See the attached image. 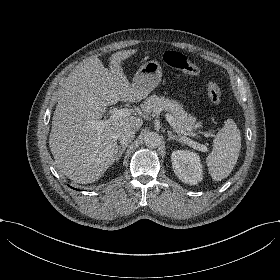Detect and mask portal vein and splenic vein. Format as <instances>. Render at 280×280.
I'll list each match as a JSON object with an SVG mask.
<instances>
[{
  "label": "portal vein and splenic vein",
  "mask_w": 280,
  "mask_h": 280,
  "mask_svg": "<svg viewBox=\"0 0 280 280\" xmlns=\"http://www.w3.org/2000/svg\"><path fill=\"white\" fill-rule=\"evenodd\" d=\"M132 113V109H128V108H121V109H114L113 110V114L110 116V119L106 120V121H96L95 124L97 126H102L104 125V123L108 122L109 120H119L121 118H124V117H127V116H130ZM166 120L168 121V123L173 126L174 129H176V124L174 122V117L172 114H169V113H166ZM176 132H178L176 130ZM184 141L188 144V146L194 148V149H198L199 151H202V152H207L208 151V148L205 146V145H202V144H199L195 141H192L190 139H185L183 137Z\"/></svg>",
  "instance_id": "1"
}]
</instances>
